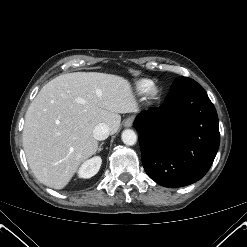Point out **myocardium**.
Returning a JSON list of instances; mask_svg holds the SVG:
<instances>
[{
  "label": "myocardium",
  "instance_id": "obj_1",
  "mask_svg": "<svg viewBox=\"0 0 247 247\" xmlns=\"http://www.w3.org/2000/svg\"><path fill=\"white\" fill-rule=\"evenodd\" d=\"M157 94H158V89H157V87L151 86V87L148 89V97H149V98H154V97H156Z\"/></svg>",
  "mask_w": 247,
  "mask_h": 247
}]
</instances>
